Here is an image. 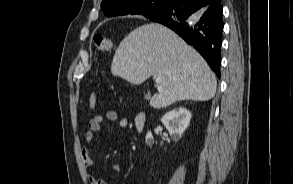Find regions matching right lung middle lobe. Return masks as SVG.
I'll return each mask as SVG.
<instances>
[{
	"mask_svg": "<svg viewBox=\"0 0 293 184\" xmlns=\"http://www.w3.org/2000/svg\"><path fill=\"white\" fill-rule=\"evenodd\" d=\"M163 7H164V3H159L153 6L152 9L145 11L143 15H147L149 16V18L157 17L159 15V12L163 9Z\"/></svg>",
	"mask_w": 293,
	"mask_h": 184,
	"instance_id": "obj_1",
	"label": "right lung middle lobe"
}]
</instances>
